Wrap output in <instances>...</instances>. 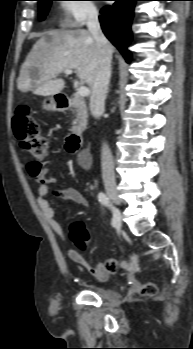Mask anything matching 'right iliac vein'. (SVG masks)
<instances>
[{
	"mask_svg": "<svg viewBox=\"0 0 193 349\" xmlns=\"http://www.w3.org/2000/svg\"><path fill=\"white\" fill-rule=\"evenodd\" d=\"M107 195L113 200L116 205H121L122 199L118 195L117 190L114 187H108L106 189ZM114 223L118 226L121 225V214L119 210L114 211Z\"/></svg>",
	"mask_w": 193,
	"mask_h": 349,
	"instance_id": "right-iliac-vein-1",
	"label": "right iliac vein"
}]
</instances>
